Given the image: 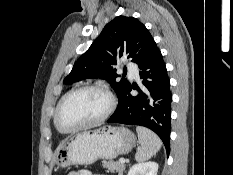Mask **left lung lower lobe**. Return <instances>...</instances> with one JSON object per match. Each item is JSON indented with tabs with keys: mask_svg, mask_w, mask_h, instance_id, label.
Here are the masks:
<instances>
[{
	"mask_svg": "<svg viewBox=\"0 0 233 175\" xmlns=\"http://www.w3.org/2000/svg\"><path fill=\"white\" fill-rule=\"evenodd\" d=\"M143 88L130 87L125 91L108 123L144 126L154 131L170 152L171 102L170 79L162 54L155 44L139 64ZM136 89L139 94L132 96Z\"/></svg>",
	"mask_w": 233,
	"mask_h": 175,
	"instance_id": "obj_1",
	"label": "left lung lower lobe"
}]
</instances>
